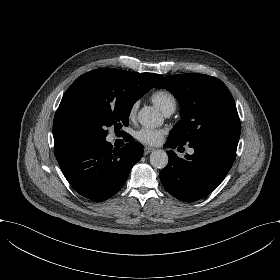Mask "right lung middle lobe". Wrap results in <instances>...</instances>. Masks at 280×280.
Instances as JSON below:
<instances>
[{
  "mask_svg": "<svg viewBox=\"0 0 280 280\" xmlns=\"http://www.w3.org/2000/svg\"><path fill=\"white\" fill-rule=\"evenodd\" d=\"M64 97L65 122L85 141L106 140L109 127L128 126V117L135 103L122 92L117 73L109 69L76 79Z\"/></svg>",
  "mask_w": 280,
  "mask_h": 280,
  "instance_id": "right-lung-middle-lobe-1",
  "label": "right lung middle lobe"
}]
</instances>
